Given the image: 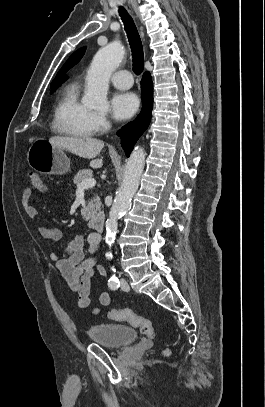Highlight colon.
I'll use <instances>...</instances> for the list:
<instances>
[{
	"instance_id": "obj_1",
	"label": "colon",
	"mask_w": 265,
	"mask_h": 407,
	"mask_svg": "<svg viewBox=\"0 0 265 407\" xmlns=\"http://www.w3.org/2000/svg\"><path fill=\"white\" fill-rule=\"evenodd\" d=\"M29 177L32 189L37 191H43L45 189L43 179L39 174L30 172ZM109 318L118 322H128L133 327L139 328L141 333L149 338H153L155 335V328L152 321L135 314L129 309H113L109 312ZM163 354L169 355L170 350L165 349Z\"/></svg>"
}]
</instances>
